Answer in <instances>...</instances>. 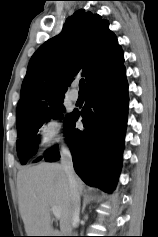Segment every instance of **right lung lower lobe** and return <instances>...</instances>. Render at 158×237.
<instances>
[{
    "instance_id": "obj_1",
    "label": "right lung lower lobe",
    "mask_w": 158,
    "mask_h": 237,
    "mask_svg": "<svg viewBox=\"0 0 158 237\" xmlns=\"http://www.w3.org/2000/svg\"><path fill=\"white\" fill-rule=\"evenodd\" d=\"M125 67L99 78L86 88V103L81 111L84 129L75 127L78 112L65 122L74 169L88 185L105 192L114 189L122 159L127 122L128 95ZM58 147L45 153L48 162L59 159ZM40 160L37 159L35 161Z\"/></svg>"
}]
</instances>
